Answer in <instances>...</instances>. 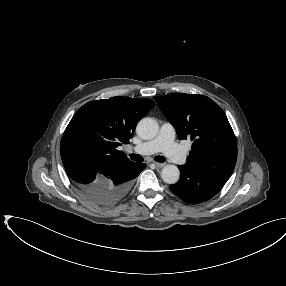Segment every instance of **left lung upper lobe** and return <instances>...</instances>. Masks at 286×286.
I'll list each match as a JSON object with an SVG mask.
<instances>
[{
    "label": "left lung upper lobe",
    "instance_id": "left-lung-upper-lobe-1",
    "mask_svg": "<svg viewBox=\"0 0 286 286\" xmlns=\"http://www.w3.org/2000/svg\"><path fill=\"white\" fill-rule=\"evenodd\" d=\"M179 138L191 139L186 165L227 181L237 160V142L224 111L210 98L196 94L154 97Z\"/></svg>",
    "mask_w": 286,
    "mask_h": 286
}]
</instances>
